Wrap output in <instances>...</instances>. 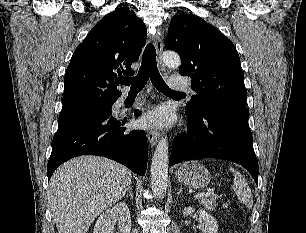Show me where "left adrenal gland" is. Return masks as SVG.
<instances>
[{"mask_svg": "<svg viewBox=\"0 0 306 233\" xmlns=\"http://www.w3.org/2000/svg\"><path fill=\"white\" fill-rule=\"evenodd\" d=\"M183 188L180 187V190L177 192V195H180L182 193Z\"/></svg>", "mask_w": 306, "mask_h": 233, "instance_id": "left-adrenal-gland-1", "label": "left adrenal gland"}]
</instances>
